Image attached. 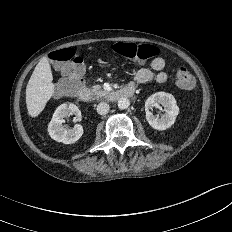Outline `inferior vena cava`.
<instances>
[{"label":"inferior vena cava","mask_w":232,"mask_h":232,"mask_svg":"<svg viewBox=\"0 0 232 232\" xmlns=\"http://www.w3.org/2000/svg\"><path fill=\"white\" fill-rule=\"evenodd\" d=\"M109 112V105L105 102H101L97 105V113L100 115H105Z\"/></svg>","instance_id":"obj_1"}]
</instances>
